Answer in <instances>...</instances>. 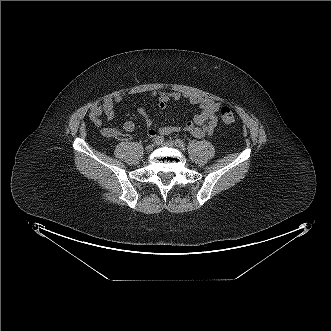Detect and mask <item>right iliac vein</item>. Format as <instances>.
Listing matches in <instances>:
<instances>
[{"mask_svg":"<svg viewBox=\"0 0 331 331\" xmlns=\"http://www.w3.org/2000/svg\"><path fill=\"white\" fill-rule=\"evenodd\" d=\"M145 149H146V151L151 152L154 149V145L153 144H149V145L146 146Z\"/></svg>","mask_w":331,"mask_h":331,"instance_id":"obj_1","label":"right iliac vein"}]
</instances>
